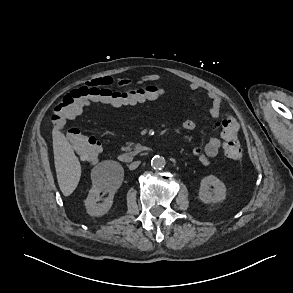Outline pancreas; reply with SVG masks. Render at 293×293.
Returning <instances> with one entry per match:
<instances>
[{
  "mask_svg": "<svg viewBox=\"0 0 293 293\" xmlns=\"http://www.w3.org/2000/svg\"><path fill=\"white\" fill-rule=\"evenodd\" d=\"M133 146H134V143H127V146L124 147V148H122V150L123 151H131L133 149L132 148ZM141 149H142L141 145L140 144H137L135 146V153L139 152Z\"/></svg>",
  "mask_w": 293,
  "mask_h": 293,
  "instance_id": "1",
  "label": "pancreas"
}]
</instances>
